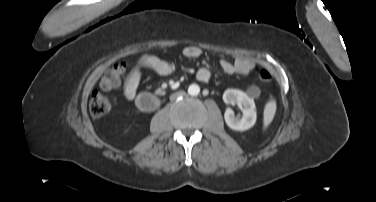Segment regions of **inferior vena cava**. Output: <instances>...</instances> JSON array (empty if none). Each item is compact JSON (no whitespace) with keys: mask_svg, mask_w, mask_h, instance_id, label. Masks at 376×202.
Wrapping results in <instances>:
<instances>
[{"mask_svg":"<svg viewBox=\"0 0 376 202\" xmlns=\"http://www.w3.org/2000/svg\"><path fill=\"white\" fill-rule=\"evenodd\" d=\"M182 93H178L176 94L173 98L177 97V96H180Z\"/></svg>","mask_w":376,"mask_h":202,"instance_id":"inferior-vena-cava-1","label":"inferior vena cava"}]
</instances>
